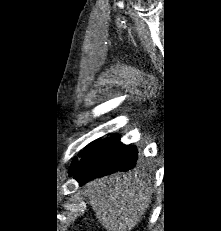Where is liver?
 I'll use <instances>...</instances> for the list:
<instances>
[{
    "label": "liver",
    "instance_id": "liver-1",
    "mask_svg": "<svg viewBox=\"0 0 221 231\" xmlns=\"http://www.w3.org/2000/svg\"><path fill=\"white\" fill-rule=\"evenodd\" d=\"M89 204L108 231H131L151 202L154 187L139 172L116 173L86 185Z\"/></svg>",
    "mask_w": 221,
    "mask_h": 231
}]
</instances>
